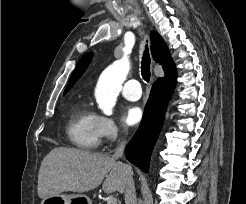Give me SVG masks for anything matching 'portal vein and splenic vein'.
Instances as JSON below:
<instances>
[{
    "label": "portal vein and splenic vein",
    "mask_w": 246,
    "mask_h": 204,
    "mask_svg": "<svg viewBox=\"0 0 246 204\" xmlns=\"http://www.w3.org/2000/svg\"><path fill=\"white\" fill-rule=\"evenodd\" d=\"M107 204H117V199L116 198H111L107 201Z\"/></svg>",
    "instance_id": "portal-vein-and-splenic-vein-1"
}]
</instances>
